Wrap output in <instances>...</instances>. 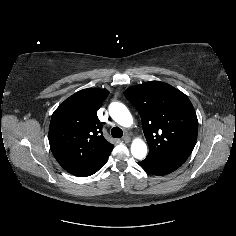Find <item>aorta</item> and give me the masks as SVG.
Listing matches in <instances>:
<instances>
[{
	"label": "aorta",
	"mask_w": 236,
	"mask_h": 236,
	"mask_svg": "<svg viewBox=\"0 0 236 236\" xmlns=\"http://www.w3.org/2000/svg\"><path fill=\"white\" fill-rule=\"evenodd\" d=\"M111 118L123 127H130L133 118L128 108L120 102H113L109 106ZM131 153L137 159H143L147 154V146L141 139H135L131 144Z\"/></svg>",
	"instance_id": "obj_1"
}]
</instances>
